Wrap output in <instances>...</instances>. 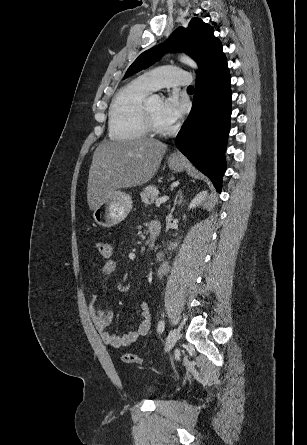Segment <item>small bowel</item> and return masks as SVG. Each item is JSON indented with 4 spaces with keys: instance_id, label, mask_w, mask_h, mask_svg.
Instances as JSON below:
<instances>
[{
    "instance_id": "1",
    "label": "small bowel",
    "mask_w": 307,
    "mask_h": 445,
    "mask_svg": "<svg viewBox=\"0 0 307 445\" xmlns=\"http://www.w3.org/2000/svg\"><path fill=\"white\" fill-rule=\"evenodd\" d=\"M151 228H157L160 230V225L158 222L154 221L150 225ZM117 265L114 260H107L101 269V274L104 277L112 275L116 271ZM97 295H92L89 303V314L90 317L99 332L102 341L114 348H121L129 346L139 340L142 336H145L150 328L152 322V316L150 312L149 305L146 301L140 303V318L141 321L137 328L129 333L123 334L122 336H116L108 331V327L113 319V312L108 309L100 308L96 305Z\"/></svg>"
}]
</instances>
